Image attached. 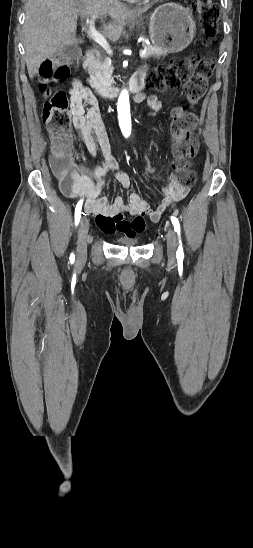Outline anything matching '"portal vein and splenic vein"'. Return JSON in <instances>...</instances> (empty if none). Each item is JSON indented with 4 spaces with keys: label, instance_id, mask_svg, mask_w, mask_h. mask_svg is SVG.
<instances>
[{
    "label": "portal vein and splenic vein",
    "instance_id": "obj_1",
    "mask_svg": "<svg viewBox=\"0 0 253 548\" xmlns=\"http://www.w3.org/2000/svg\"><path fill=\"white\" fill-rule=\"evenodd\" d=\"M98 18L97 15H92L89 20L88 25V35L89 37L95 41L98 45H100L108 54H112V50L107 42V40L104 38L102 34H100L96 28H95V20ZM146 54V49L141 50L139 55L141 58H144Z\"/></svg>",
    "mask_w": 253,
    "mask_h": 548
}]
</instances>
